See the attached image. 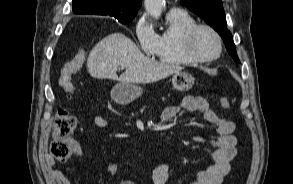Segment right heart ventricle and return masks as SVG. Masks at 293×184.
Returning <instances> with one entry per match:
<instances>
[{"mask_svg": "<svg viewBox=\"0 0 293 184\" xmlns=\"http://www.w3.org/2000/svg\"><path fill=\"white\" fill-rule=\"evenodd\" d=\"M166 21V29L157 34V44L153 56L167 64H192L193 62L182 52L181 41L185 31L195 25L196 21L184 11L169 12Z\"/></svg>", "mask_w": 293, "mask_h": 184, "instance_id": "1", "label": "right heart ventricle"}]
</instances>
